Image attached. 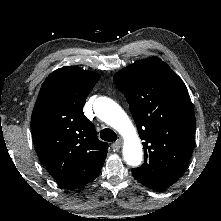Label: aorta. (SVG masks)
Returning <instances> with one entry per match:
<instances>
[{"label": "aorta", "mask_w": 221, "mask_h": 221, "mask_svg": "<svg viewBox=\"0 0 221 221\" xmlns=\"http://www.w3.org/2000/svg\"><path fill=\"white\" fill-rule=\"evenodd\" d=\"M95 114L124 138L123 156L126 163L136 167L141 164L143 152L137 132L125 111L112 99L99 97L94 102Z\"/></svg>", "instance_id": "1"}]
</instances>
